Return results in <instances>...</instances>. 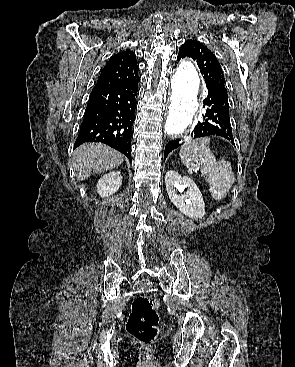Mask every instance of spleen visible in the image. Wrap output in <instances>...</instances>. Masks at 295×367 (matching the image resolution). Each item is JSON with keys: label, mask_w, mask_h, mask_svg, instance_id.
<instances>
[{"label": "spleen", "mask_w": 295, "mask_h": 367, "mask_svg": "<svg viewBox=\"0 0 295 367\" xmlns=\"http://www.w3.org/2000/svg\"><path fill=\"white\" fill-rule=\"evenodd\" d=\"M210 139L200 138L184 143L180 148V158L184 166L192 172L200 167L202 176H206L211 197L216 201L225 199L235 177L229 161H216L209 148Z\"/></svg>", "instance_id": "1"}]
</instances>
